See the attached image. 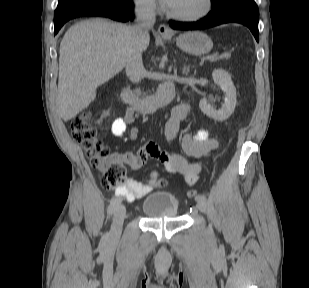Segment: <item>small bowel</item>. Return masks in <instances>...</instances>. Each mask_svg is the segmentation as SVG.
Masks as SVG:
<instances>
[{
    "mask_svg": "<svg viewBox=\"0 0 309 288\" xmlns=\"http://www.w3.org/2000/svg\"><path fill=\"white\" fill-rule=\"evenodd\" d=\"M189 111L187 104H180L175 107L165 127V136L170 144L176 137L180 123L186 117ZM133 120V116L128 112L123 118L115 119L111 124V131L115 136H122L127 131V126ZM137 136V129L132 127L129 130L128 138L134 140ZM218 147V141L209 137L206 129H200L196 135L184 133L181 138L182 154L173 151L170 147L167 149L160 148L154 142L146 143L139 151L124 152L115 155V158L129 168L136 170L142 168L149 158L160 161L165 169L172 173L180 175L188 184H193L201 171V163L198 161L205 154ZM186 157L195 158L197 161L189 162ZM157 174L151 175L148 183H143L134 179L127 180L124 185L116 190V194L125 197L128 201L143 198L150 193L155 186Z\"/></svg>",
    "mask_w": 309,
    "mask_h": 288,
    "instance_id": "1",
    "label": "small bowel"
}]
</instances>
